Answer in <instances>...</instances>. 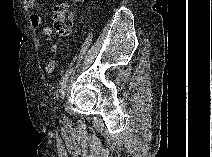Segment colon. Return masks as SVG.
<instances>
[{"mask_svg":"<svg viewBox=\"0 0 212 157\" xmlns=\"http://www.w3.org/2000/svg\"><path fill=\"white\" fill-rule=\"evenodd\" d=\"M73 18L70 10L62 4L53 9V27L59 36H68L72 30Z\"/></svg>","mask_w":212,"mask_h":157,"instance_id":"1","label":"colon"}]
</instances>
